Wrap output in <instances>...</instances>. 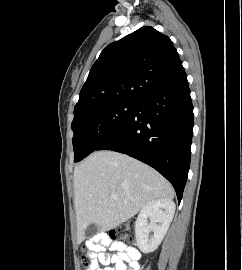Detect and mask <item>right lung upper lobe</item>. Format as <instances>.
Segmentation results:
<instances>
[{"instance_id": "obj_1", "label": "right lung upper lobe", "mask_w": 242, "mask_h": 270, "mask_svg": "<svg viewBox=\"0 0 242 270\" xmlns=\"http://www.w3.org/2000/svg\"><path fill=\"white\" fill-rule=\"evenodd\" d=\"M182 67L170 38L142 27L101 52L80 91L74 116L113 101L138 100Z\"/></svg>"}]
</instances>
